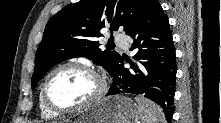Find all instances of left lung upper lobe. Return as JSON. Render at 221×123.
<instances>
[{
    "instance_id": "1",
    "label": "left lung upper lobe",
    "mask_w": 221,
    "mask_h": 123,
    "mask_svg": "<svg viewBox=\"0 0 221 123\" xmlns=\"http://www.w3.org/2000/svg\"><path fill=\"white\" fill-rule=\"evenodd\" d=\"M154 1L81 0L60 10L46 25L37 49L32 89L54 65L70 58L86 57L110 74L121 56L108 45L107 50L99 48L100 30L110 25L128 35Z\"/></svg>"
}]
</instances>
